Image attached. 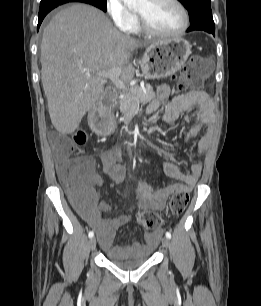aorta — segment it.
Masks as SVG:
<instances>
[{"label":"aorta","instance_id":"obj_1","mask_svg":"<svg viewBox=\"0 0 261 306\" xmlns=\"http://www.w3.org/2000/svg\"><path fill=\"white\" fill-rule=\"evenodd\" d=\"M124 4H126L129 7H135L138 4H140L143 0H122Z\"/></svg>","mask_w":261,"mask_h":306}]
</instances>
